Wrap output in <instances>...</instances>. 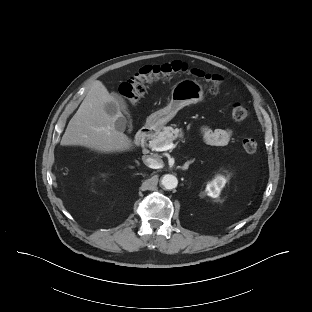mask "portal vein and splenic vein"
<instances>
[{
  "instance_id": "obj_1",
  "label": "portal vein and splenic vein",
  "mask_w": 312,
  "mask_h": 312,
  "mask_svg": "<svg viewBox=\"0 0 312 312\" xmlns=\"http://www.w3.org/2000/svg\"><path fill=\"white\" fill-rule=\"evenodd\" d=\"M175 147V144L173 143H169V144H165L163 146L160 147H155L153 148L155 151H167L169 149H173Z\"/></svg>"
}]
</instances>
